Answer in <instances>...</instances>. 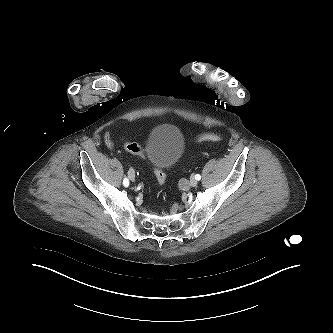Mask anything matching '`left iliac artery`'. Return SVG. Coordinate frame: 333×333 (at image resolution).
<instances>
[{
  "label": "left iliac artery",
  "instance_id": "left-iliac-artery-1",
  "mask_svg": "<svg viewBox=\"0 0 333 333\" xmlns=\"http://www.w3.org/2000/svg\"><path fill=\"white\" fill-rule=\"evenodd\" d=\"M195 178H196V180H198V181H199V180L201 179V176H200V174H196V175H195Z\"/></svg>",
  "mask_w": 333,
  "mask_h": 333
}]
</instances>
